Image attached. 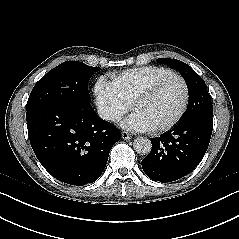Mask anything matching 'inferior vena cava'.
<instances>
[{
    "mask_svg": "<svg viewBox=\"0 0 239 239\" xmlns=\"http://www.w3.org/2000/svg\"><path fill=\"white\" fill-rule=\"evenodd\" d=\"M98 115L100 116V118L104 119V120H114L115 119V115L112 111H110L108 108H100L98 110Z\"/></svg>",
    "mask_w": 239,
    "mask_h": 239,
    "instance_id": "inferior-vena-cava-1",
    "label": "inferior vena cava"
}]
</instances>
